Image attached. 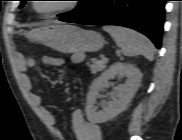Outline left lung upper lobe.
I'll list each match as a JSON object with an SVG mask.
<instances>
[{"label": "left lung upper lobe", "mask_w": 182, "mask_h": 140, "mask_svg": "<svg viewBox=\"0 0 182 140\" xmlns=\"http://www.w3.org/2000/svg\"><path fill=\"white\" fill-rule=\"evenodd\" d=\"M25 2L26 0H21L20 8L24 6ZM100 2L101 0H81L77 9L59 14L58 16L61 17V19H77L84 17L95 10Z\"/></svg>", "instance_id": "obj_1"}]
</instances>
